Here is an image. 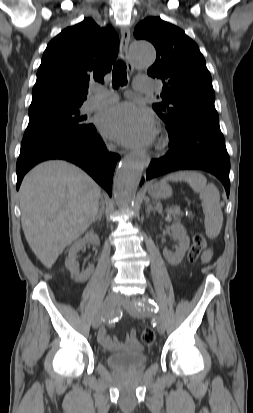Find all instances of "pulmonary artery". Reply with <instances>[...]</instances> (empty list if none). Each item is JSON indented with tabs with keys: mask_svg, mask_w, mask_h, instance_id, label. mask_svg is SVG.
Returning a JSON list of instances; mask_svg holds the SVG:
<instances>
[{
	"mask_svg": "<svg viewBox=\"0 0 253 413\" xmlns=\"http://www.w3.org/2000/svg\"><path fill=\"white\" fill-rule=\"evenodd\" d=\"M139 91L146 92L152 89V84L147 81L144 85L137 88ZM117 101V96L99 89L93 90V95L84 105L86 111L103 108Z\"/></svg>",
	"mask_w": 253,
	"mask_h": 413,
	"instance_id": "e3ab8cb5",
	"label": "pulmonary artery"
}]
</instances>
